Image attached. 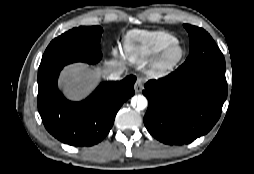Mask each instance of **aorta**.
I'll return each mask as SVG.
<instances>
[{
	"label": "aorta",
	"mask_w": 254,
	"mask_h": 174,
	"mask_svg": "<svg viewBox=\"0 0 254 174\" xmlns=\"http://www.w3.org/2000/svg\"><path fill=\"white\" fill-rule=\"evenodd\" d=\"M131 103L137 108V110H144L148 105V101L143 95L133 97Z\"/></svg>",
	"instance_id": "aorta-1"
}]
</instances>
